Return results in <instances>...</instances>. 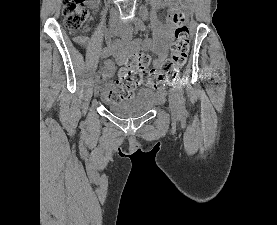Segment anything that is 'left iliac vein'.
Segmentation results:
<instances>
[{"label": "left iliac vein", "mask_w": 277, "mask_h": 225, "mask_svg": "<svg viewBox=\"0 0 277 225\" xmlns=\"http://www.w3.org/2000/svg\"><path fill=\"white\" fill-rule=\"evenodd\" d=\"M133 33L134 29L131 26L125 28V33ZM169 107L174 117H178L181 112L180 98L175 88H171L169 91Z\"/></svg>", "instance_id": "1"}]
</instances>
